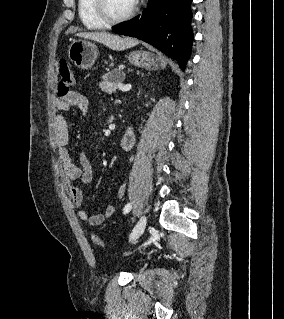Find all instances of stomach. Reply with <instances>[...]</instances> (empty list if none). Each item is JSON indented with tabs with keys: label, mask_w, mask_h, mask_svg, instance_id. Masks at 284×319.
<instances>
[{
	"label": "stomach",
	"mask_w": 284,
	"mask_h": 319,
	"mask_svg": "<svg viewBox=\"0 0 284 319\" xmlns=\"http://www.w3.org/2000/svg\"><path fill=\"white\" fill-rule=\"evenodd\" d=\"M68 57L81 69H90L97 58V47L87 40H74L68 48ZM129 62L139 68L155 70L159 66V57L148 51H133L128 56Z\"/></svg>",
	"instance_id": "1"
}]
</instances>
